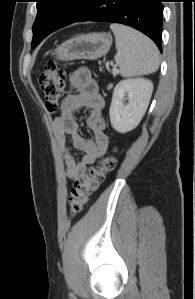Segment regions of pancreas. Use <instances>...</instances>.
Returning <instances> with one entry per match:
<instances>
[{"mask_svg":"<svg viewBox=\"0 0 195 299\" xmlns=\"http://www.w3.org/2000/svg\"><path fill=\"white\" fill-rule=\"evenodd\" d=\"M108 88H112V85L110 84V85L108 86Z\"/></svg>","mask_w":195,"mask_h":299,"instance_id":"cf45deb5","label":"pancreas"}]
</instances>
